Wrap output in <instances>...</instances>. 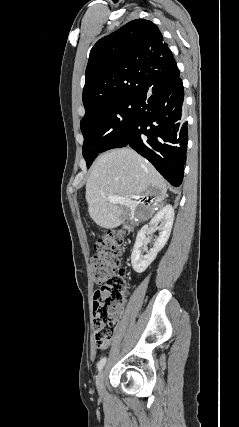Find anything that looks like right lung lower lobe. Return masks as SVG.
<instances>
[{
    "instance_id": "98d812e1",
    "label": "right lung lower lobe",
    "mask_w": 239,
    "mask_h": 427,
    "mask_svg": "<svg viewBox=\"0 0 239 427\" xmlns=\"http://www.w3.org/2000/svg\"><path fill=\"white\" fill-rule=\"evenodd\" d=\"M184 89L179 74L154 84L136 97L129 145L149 160L175 187L183 180L188 143Z\"/></svg>"
}]
</instances>
